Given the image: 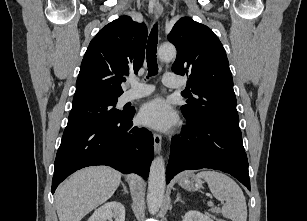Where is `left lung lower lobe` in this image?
Masks as SVG:
<instances>
[{"instance_id":"obj_1","label":"left lung lower lobe","mask_w":307,"mask_h":221,"mask_svg":"<svg viewBox=\"0 0 307 221\" xmlns=\"http://www.w3.org/2000/svg\"><path fill=\"white\" fill-rule=\"evenodd\" d=\"M201 168L229 173L250 190L241 134L212 121L187 120V128L181 136L172 139L166 181L185 169Z\"/></svg>"}]
</instances>
